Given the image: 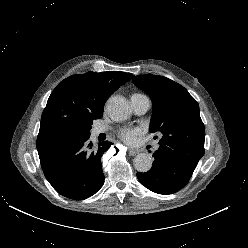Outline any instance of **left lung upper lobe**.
<instances>
[{
	"label": "left lung upper lobe",
	"instance_id": "left-lung-upper-lobe-1",
	"mask_svg": "<svg viewBox=\"0 0 248 248\" xmlns=\"http://www.w3.org/2000/svg\"><path fill=\"white\" fill-rule=\"evenodd\" d=\"M133 83L152 100L150 131L162 134L159 149L196 167L204 155L205 139L197 101L183 86L163 76H133Z\"/></svg>",
	"mask_w": 248,
	"mask_h": 248
}]
</instances>
